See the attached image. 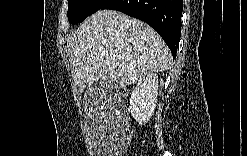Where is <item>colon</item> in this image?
<instances>
[{
    "label": "colon",
    "mask_w": 247,
    "mask_h": 156,
    "mask_svg": "<svg viewBox=\"0 0 247 156\" xmlns=\"http://www.w3.org/2000/svg\"><path fill=\"white\" fill-rule=\"evenodd\" d=\"M115 94L117 97L126 98L128 96V90L125 87L118 86L115 88Z\"/></svg>",
    "instance_id": "1"
}]
</instances>
